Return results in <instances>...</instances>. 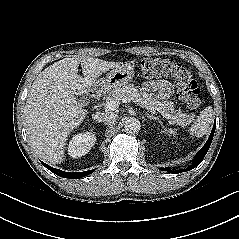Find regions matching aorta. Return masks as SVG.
<instances>
[{
  "label": "aorta",
  "mask_w": 239,
  "mask_h": 239,
  "mask_svg": "<svg viewBox=\"0 0 239 239\" xmlns=\"http://www.w3.org/2000/svg\"><path fill=\"white\" fill-rule=\"evenodd\" d=\"M124 129L127 133H136L141 129V123L134 117L127 118L124 122Z\"/></svg>",
  "instance_id": "obj_1"
}]
</instances>
